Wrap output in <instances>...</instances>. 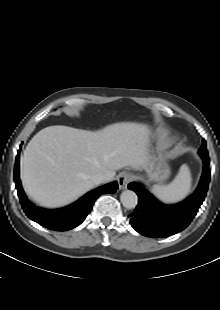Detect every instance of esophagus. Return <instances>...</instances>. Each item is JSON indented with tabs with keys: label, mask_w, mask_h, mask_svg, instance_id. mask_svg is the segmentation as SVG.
Segmentation results:
<instances>
[{
	"label": "esophagus",
	"mask_w": 220,
	"mask_h": 310,
	"mask_svg": "<svg viewBox=\"0 0 220 310\" xmlns=\"http://www.w3.org/2000/svg\"><path fill=\"white\" fill-rule=\"evenodd\" d=\"M132 178L133 176L130 173H121L117 178L119 189H126L128 183L132 180Z\"/></svg>",
	"instance_id": "34e87169"
}]
</instances>
